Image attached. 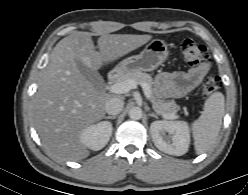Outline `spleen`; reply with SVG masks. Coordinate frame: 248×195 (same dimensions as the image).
<instances>
[{"label":"spleen","instance_id":"1","mask_svg":"<svg viewBox=\"0 0 248 195\" xmlns=\"http://www.w3.org/2000/svg\"><path fill=\"white\" fill-rule=\"evenodd\" d=\"M225 111L224 95L215 92L205 101L203 114L192 123L197 154L207 152L216 142Z\"/></svg>","mask_w":248,"mask_h":195}]
</instances>
